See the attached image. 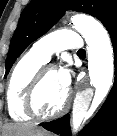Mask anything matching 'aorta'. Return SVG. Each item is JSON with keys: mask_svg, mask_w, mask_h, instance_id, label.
<instances>
[{"mask_svg": "<svg viewBox=\"0 0 117 136\" xmlns=\"http://www.w3.org/2000/svg\"><path fill=\"white\" fill-rule=\"evenodd\" d=\"M71 20L87 43L90 84L95 88V93L86 88L74 99L71 126L75 132L83 118L88 117L90 105L97 107L109 93L114 77V57L109 34L99 21L86 15H75Z\"/></svg>", "mask_w": 117, "mask_h": 136, "instance_id": "762f6f07", "label": "aorta"}]
</instances>
